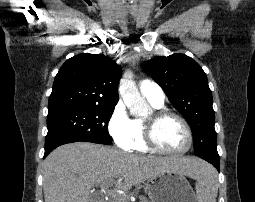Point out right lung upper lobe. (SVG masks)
Listing matches in <instances>:
<instances>
[{
	"label": "right lung upper lobe",
	"instance_id": "cb5924a9",
	"mask_svg": "<svg viewBox=\"0 0 255 202\" xmlns=\"http://www.w3.org/2000/svg\"><path fill=\"white\" fill-rule=\"evenodd\" d=\"M120 76V66L103 54L68 59L55 77L48 114L81 106H115Z\"/></svg>",
	"mask_w": 255,
	"mask_h": 202
}]
</instances>
